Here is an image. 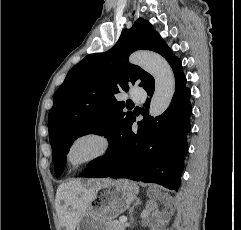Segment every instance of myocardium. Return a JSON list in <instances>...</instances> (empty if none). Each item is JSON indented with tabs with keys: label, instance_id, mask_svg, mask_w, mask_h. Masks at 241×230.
Segmentation results:
<instances>
[{
	"label": "myocardium",
	"instance_id": "1",
	"mask_svg": "<svg viewBox=\"0 0 241 230\" xmlns=\"http://www.w3.org/2000/svg\"><path fill=\"white\" fill-rule=\"evenodd\" d=\"M84 138H93L98 141L99 143V149L96 153H94L92 156L86 158L85 160L79 162V163H72L70 160V151L73 147V145ZM112 148V140L108 134L101 130L97 129H89L82 131L78 134H76L68 143L65 153H64V158L66 161V164L69 168L71 169H78L81 168L87 164H90L92 162H95L103 157H105L111 150Z\"/></svg>",
	"mask_w": 241,
	"mask_h": 230
}]
</instances>
